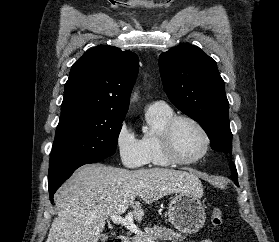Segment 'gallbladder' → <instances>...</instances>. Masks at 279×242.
<instances>
[{
  "label": "gallbladder",
  "instance_id": "obj_1",
  "mask_svg": "<svg viewBox=\"0 0 279 242\" xmlns=\"http://www.w3.org/2000/svg\"><path fill=\"white\" fill-rule=\"evenodd\" d=\"M107 238H108V236H107L106 234H104V235L101 236V239L104 240V241H105Z\"/></svg>",
  "mask_w": 279,
  "mask_h": 242
}]
</instances>
